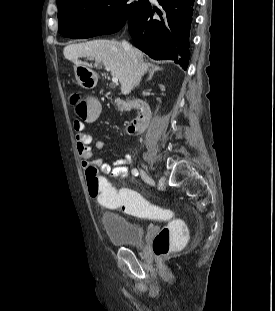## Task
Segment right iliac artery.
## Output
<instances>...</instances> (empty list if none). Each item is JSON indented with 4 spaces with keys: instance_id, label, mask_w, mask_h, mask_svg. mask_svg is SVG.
I'll return each instance as SVG.
<instances>
[{
    "instance_id": "1",
    "label": "right iliac artery",
    "mask_w": 275,
    "mask_h": 311,
    "mask_svg": "<svg viewBox=\"0 0 275 311\" xmlns=\"http://www.w3.org/2000/svg\"><path fill=\"white\" fill-rule=\"evenodd\" d=\"M131 173L134 175V176H138L139 172L136 168L132 169Z\"/></svg>"
}]
</instances>
